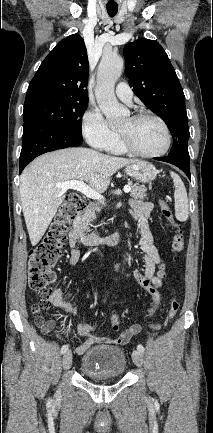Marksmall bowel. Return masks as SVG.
Segmentation results:
<instances>
[{"mask_svg":"<svg viewBox=\"0 0 213 433\" xmlns=\"http://www.w3.org/2000/svg\"><path fill=\"white\" fill-rule=\"evenodd\" d=\"M133 218L138 222L140 227V247L142 250L145 266L142 272L135 270L132 276L137 283L145 289L152 297V306L149 311L153 314L158 308L160 302V289L162 288V277L157 272L160 266L161 259L157 248L153 242V236L148 226V218L152 210V204L142 200H134L132 202ZM78 236L74 230L69 234V256L67 258L68 264H75L80 258V251L77 248ZM127 276L129 272L125 273ZM50 304L55 308L63 311L66 314H72L73 308L69 306L63 298L61 289L52 290L48 297ZM54 321H46L41 326L42 332L48 334L54 328ZM77 333L80 336L86 337V340L77 349L78 354L85 353L92 345L96 343H115L122 344L128 340H122V334L117 338L101 337L95 334V328L88 323H79L76 325ZM127 330L132 332V336L138 334L141 330L140 325L133 324ZM131 336V337H132Z\"/></svg>","mask_w":213,"mask_h":433,"instance_id":"1","label":"small bowel"}]
</instances>
